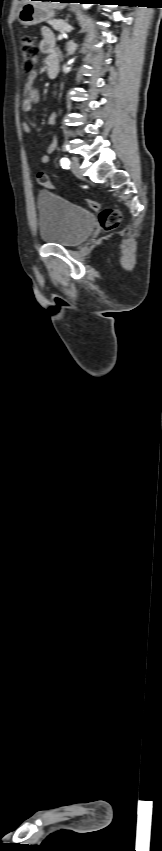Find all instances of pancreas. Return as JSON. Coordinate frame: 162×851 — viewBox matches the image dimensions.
Segmentation results:
<instances>
[{"instance_id": "pancreas-1", "label": "pancreas", "mask_w": 162, "mask_h": 851, "mask_svg": "<svg viewBox=\"0 0 162 851\" xmlns=\"http://www.w3.org/2000/svg\"><path fill=\"white\" fill-rule=\"evenodd\" d=\"M56 31L64 32L70 31L72 27L63 20H52L48 22Z\"/></svg>"}]
</instances>
